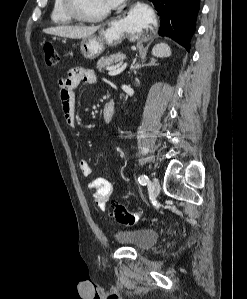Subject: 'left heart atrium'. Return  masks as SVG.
<instances>
[{
  "mask_svg": "<svg viewBox=\"0 0 247 299\" xmlns=\"http://www.w3.org/2000/svg\"><path fill=\"white\" fill-rule=\"evenodd\" d=\"M124 0H107L109 7H116Z\"/></svg>",
  "mask_w": 247,
  "mask_h": 299,
  "instance_id": "obj_1",
  "label": "left heart atrium"
}]
</instances>
